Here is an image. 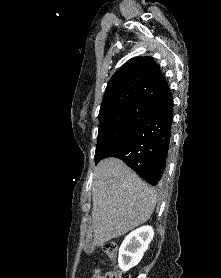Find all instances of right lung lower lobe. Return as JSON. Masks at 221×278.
I'll return each mask as SVG.
<instances>
[{"instance_id":"1","label":"right lung lower lobe","mask_w":221,"mask_h":278,"mask_svg":"<svg viewBox=\"0 0 221 278\" xmlns=\"http://www.w3.org/2000/svg\"><path fill=\"white\" fill-rule=\"evenodd\" d=\"M146 103L152 111L101 159L120 158L148 183L156 186L165 169L171 137L173 97L170 89L149 98Z\"/></svg>"}]
</instances>
